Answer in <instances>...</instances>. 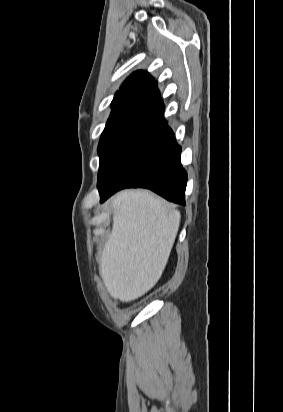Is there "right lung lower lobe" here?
<instances>
[{
  "mask_svg": "<svg viewBox=\"0 0 283 412\" xmlns=\"http://www.w3.org/2000/svg\"><path fill=\"white\" fill-rule=\"evenodd\" d=\"M181 147L165 119L149 128L139 143L98 182L101 202L124 188L143 187L165 199L185 204L187 174L180 162Z\"/></svg>",
  "mask_w": 283,
  "mask_h": 412,
  "instance_id": "obj_1",
  "label": "right lung lower lobe"
}]
</instances>
